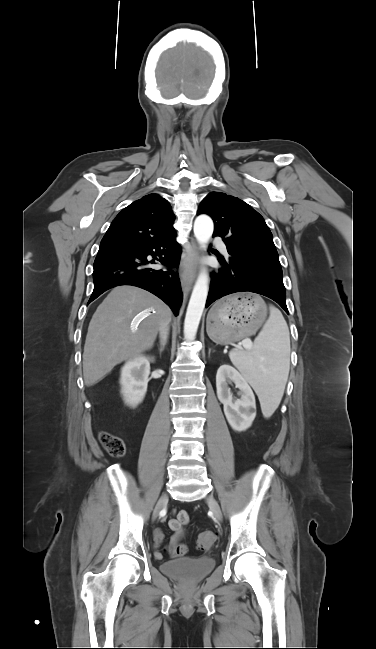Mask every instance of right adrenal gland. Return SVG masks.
<instances>
[{
  "label": "right adrenal gland",
  "instance_id": "2a0ac1e0",
  "mask_svg": "<svg viewBox=\"0 0 376 649\" xmlns=\"http://www.w3.org/2000/svg\"><path fill=\"white\" fill-rule=\"evenodd\" d=\"M164 348H165V344H161L159 348L160 355L163 352Z\"/></svg>",
  "mask_w": 376,
  "mask_h": 649
}]
</instances>
